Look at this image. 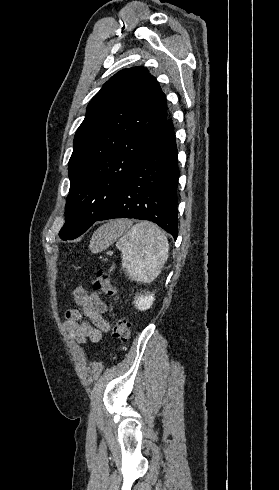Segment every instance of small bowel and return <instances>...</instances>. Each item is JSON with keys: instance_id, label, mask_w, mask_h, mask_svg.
<instances>
[{"instance_id": "1", "label": "small bowel", "mask_w": 279, "mask_h": 490, "mask_svg": "<svg viewBox=\"0 0 279 490\" xmlns=\"http://www.w3.org/2000/svg\"><path fill=\"white\" fill-rule=\"evenodd\" d=\"M73 299L79 309H67L65 330L79 344H85L87 340L99 342L110 329L109 323L102 316L107 310L106 304L97 294L88 293L80 287L74 289ZM83 317L89 318L90 322L84 321Z\"/></svg>"}]
</instances>
